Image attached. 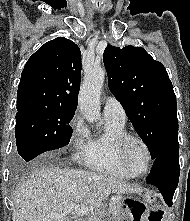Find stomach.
<instances>
[{"instance_id":"obj_1","label":"stomach","mask_w":190,"mask_h":221,"mask_svg":"<svg viewBox=\"0 0 190 221\" xmlns=\"http://www.w3.org/2000/svg\"><path fill=\"white\" fill-rule=\"evenodd\" d=\"M118 204L123 209L125 217L106 214L103 221H165V218L148 217H168V212H162V204H157L155 196L152 194H142L140 200H119Z\"/></svg>"}]
</instances>
